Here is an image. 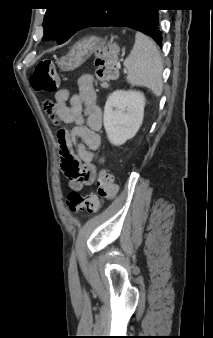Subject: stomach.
<instances>
[{"instance_id": "0dacf381", "label": "stomach", "mask_w": 213, "mask_h": 338, "mask_svg": "<svg viewBox=\"0 0 213 338\" xmlns=\"http://www.w3.org/2000/svg\"><path fill=\"white\" fill-rule=\"evenodd\" d=\"M102 44L96 37L80 40L66 56L61 57L58 66L62 71H73L80 67Z\"/></svg>"}]
</instances>
